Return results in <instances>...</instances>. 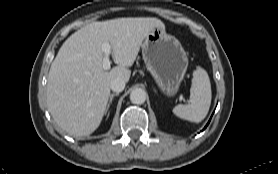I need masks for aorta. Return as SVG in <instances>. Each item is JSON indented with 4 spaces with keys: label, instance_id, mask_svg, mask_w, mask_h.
Returning a JSON list of instances; mask_svg holds the SVG:
<instances>
[{
    "label": "aorta",
    "instance_id": "762f6f07",
    "mask_svg": "<svg viewBox=\"0 0 278 174\" xmlns=\"http://www.w3.org/2000/svg\"><path fill=\"white\" fill-rule=\"evenodd\" d=\"M130 100L133 104H143L146 100V92L141 88H136L131 91Z\"/></svg>",
    "mask_w": 278,
    "mask_h": 174
}]
</instances>
